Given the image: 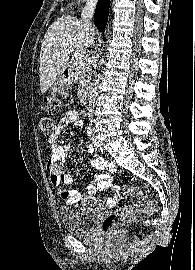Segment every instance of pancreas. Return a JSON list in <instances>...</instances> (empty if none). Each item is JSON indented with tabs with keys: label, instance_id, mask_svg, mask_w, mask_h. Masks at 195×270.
Here are the masks:
<instances>
[{
	"label": "pancreas",
	"instance_id": "1",
	"mask_svg": "<svg viewBox=\"0 0 195 270\" xmlns=\"http://www.w3.org/2000/svg\"><path fill=\"white\" fill-rule=\"evenodd\" d=\"M71 72L76 80H79L80 85L85 87L90 81V68L86 59L78 60L75 57L71 60Z\"/></svg>",
	"mask_w": 195,
	"mask_h": 270
}]
</instances>
